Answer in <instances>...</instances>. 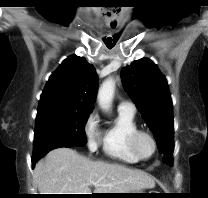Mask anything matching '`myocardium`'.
<instances>
[{"label": "myocardium", "mask_w": 208, "mask_h": 198, "mask_svg": "<svg viewBox=\"0 0 208 198\" xmlns=\"http://www.w3.org/2000/svg\"><path fill=\"white\" fill-rule=\"evenodd\" d=\"M146 136L148 137L152 144H153V151L149 156H145L141 153L140 149H139V140L141 137ZM130 147L133 151V153L140 159V160H149L151 159L157 151V141L155 139V137L153 136L152 133H150L149 131L146 130H141L138 129L136 130L130 137Z\"/></svg>", "instance_id": "myocardium-1"}]
</instances>
